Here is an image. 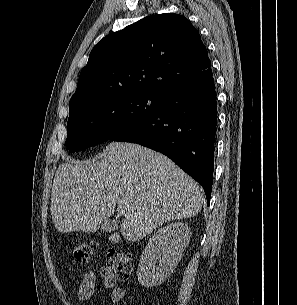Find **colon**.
Here are the masks:
<instances>
[{"instance_id":"1","label":"colon","mask_w":297,"mask_h":305,"mask_svg":"<svg viewBox=\"0 0 297 305\" xmlns=\"http://www.w3.org/2000/svg\"><path fill=\"white\" fill-rule=\"evenodd\" d=\"M90 246L88 244L77 245L72 252L73 260L76 264L85 263L90 255ZM109 271L113 276L120 279H126L131 276L134 270L132 257L129 253L118 249H111L108 253Z\"/></svg>"}]
</instances>
